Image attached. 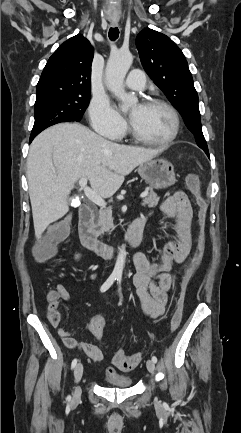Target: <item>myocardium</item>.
I'll use <instances>...</instances> for the list:
<instances>
[{
	"label": "myocardium",
	"mask_w": 241,
	"mask_h": 433,
	"mask_svg": "<svg viewBox=\"0 0 241 433\" xmlns=\"http://www.w3.org/2000/svg\"><path fill=\"white\" fill-rule=\"evenodd\" d=\"M143 105L145 106H162L165 107L166 109L169 110V112L172 114L173 120H174V129L171 133V135L169 137H167L164 140H160V141H155V140H150L148 138H145L144 136H142L140 133H138L136 131V129L133 127L132 123L130 124V133L132 135V137L145 145H150V146H157V147H161V146H166L171 144L178 136L179 132H180V125H181V121H180V115L178 113V111L176 110V108L169 103L166 100L163 99H159V98H152L149 100H146Z\"/></svg>",
	"instance_id": "1"
}]
</instances>
